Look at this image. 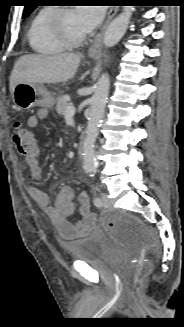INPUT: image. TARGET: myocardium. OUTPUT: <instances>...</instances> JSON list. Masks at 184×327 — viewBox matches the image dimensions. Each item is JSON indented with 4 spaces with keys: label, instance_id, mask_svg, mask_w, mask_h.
<instances>
[{
    "label": "myocardium",
    "instance_id": "myocardium-1",
    "mask_svg": "<svg viewBox=\"0 0 184 327\" xmlns=\"http://www.w3.org/2000/svg\"><path fill=\"white\" fill-rule=\"evenodd\" d=\"M71 10L73 9L70 7L55 8L49 18V29L51 33L65 46L77 47L87 41L88 35L86 34L79 38H73L65 31L63 18Z\"/></svg>",
    "mask_w": 184,
    "mask_h": 327
}]
</instances>
